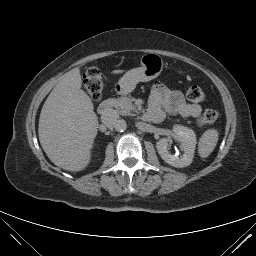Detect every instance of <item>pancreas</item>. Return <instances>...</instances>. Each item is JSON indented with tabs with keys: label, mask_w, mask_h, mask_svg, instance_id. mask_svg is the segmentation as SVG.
I'll use <instances>...</instances> for the list:
<instances>
[{
	"label": "pancreas",
	"mask_w": 256,
	"mask_h": 256,
	"mask_svg": "<svg viewBox=\"0 0 256 256\" xmlns=\"http://www.w3.org/2000/svg\"><path fill=\"white\" fill-rule=\"evenodd\" d=\"M112 106L116 108L121 115H134L131 111L135 110V106L130 97L112 99Z\"/></svg>",
	"instance_id": "obj_1"
}]
</instances>
